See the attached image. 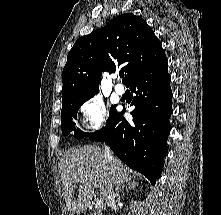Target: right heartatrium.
<instances>
[{
  "mask_svg": "<svg viewBox=\"0 0 221 215\" xmlns=\"http://www.w3.org/2000/svg\"><path fill=\"white\" fill-rule=\"evenodd\" d=\"M79 113L82 117L84 128L94 132L103 126L107 115V109L105 103L101 99L92 97L80 105Z\"/></svg>",
  "mask_w": 221,
  "mask_h": 215,
  "instance_id": "d8ad5b80",
  "label": "right heart atrium"
}]
</instances>
